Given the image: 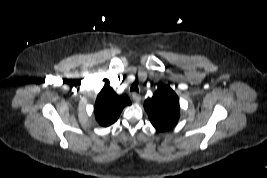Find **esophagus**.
<instances>
[{"instance_id": "1", "label": "esophagus", "mask_w": 267, "mask_h": 178, "mask_svg": "<svg viewBox=\"0 0 267 178\" xmlns=\"http://www.w3.org/2000/svg\"><path fill=\"white\" fill-rule=\"evenodd\" d=\"M132 98L135 102H140L141 101V95L138 93H132Z\"/></svg>"}]
</instances>
